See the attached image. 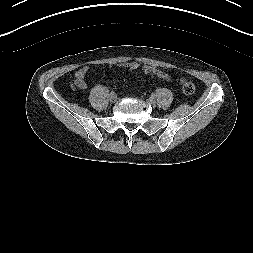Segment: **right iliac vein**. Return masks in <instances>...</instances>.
<instances>
[{"label": "right iliac vein", "mask_w": 253, "mask_h": 253, "mask_svg": "<svg viewBox=\"0 0 253 253\" xmlns=\"http://www.w3.org/2000/svg\"><path fill=\"white\" fill-rule=\"evenodd\" d=\"M109 100L111 103H115L117 101V96L116 95L110 96Z\"/></svg>", "instance_id": "1"}]
</instances>
